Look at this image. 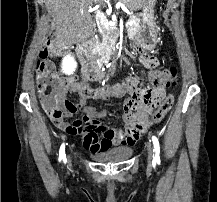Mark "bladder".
Masks as SVG:
<instances>
[{"mask_svg":"<svg viewBox=\"0 0 217 202\" xmlns=\"http://www.w3.org/2000/svg\"><path fill=\"white\" fill-rule=\"evenodd\" d=\"M132 154V149H111L107 151H103L101 153L94 154V158L96 159H104L106 161H121Z\"/></svg>","mask_w":217,"mask_h":202,"instance_id":"1","label":"bladder"}]
</instances>
